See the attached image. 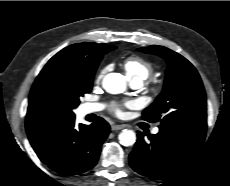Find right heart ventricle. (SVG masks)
<instances>
[{
    "instance_id": "right-heart-ventricle-1",
    "label": "right heart ventricle",
    "mask_w": 230,
    "mask_h": 186,
    "mask_svg": "<svg viewBox=\"0 0 230 186\" xmlns=\"http://www.w3.org/2000/svg\"><path fill=\"white\" fill-rule=\"evenodd\" d=\"M123 68L130 81L143 83L153 72L152 64L143 57L132 55L124 59Z\"/></svg>"
}]
</instances>
